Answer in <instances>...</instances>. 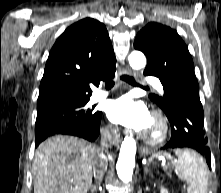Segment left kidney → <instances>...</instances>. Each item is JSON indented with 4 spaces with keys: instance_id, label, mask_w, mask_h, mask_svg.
<instances>
[{
    "instance_id": "left-kidney-1",
    "label": "left kidney",
    "mask_w": 221,
    "mask_h": 193,
    "mask_svg": "<svg viewBox=\"0 0 221 193\" xmlns=\"http://www.w3.org/2000/svg\"><path fill=\"white\" fill-rule=\"evenodd\" d=\"M160 193H168V190L164 187L160 188Z\"/></svg>"
}]
</instances>
